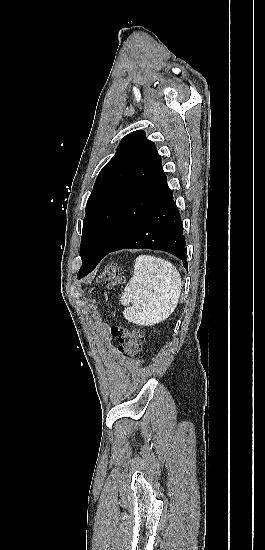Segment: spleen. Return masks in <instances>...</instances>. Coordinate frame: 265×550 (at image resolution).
Returning a JSON list of instances; mask_svg holds the SVG:
<instances>
[{
	"label": "spleen",
	"instance_id": "obj_1",
	"mask_svg": "<svg viewBox=\"0 0 265 550\" xmlns=\"http://www.w3.org/2000/svg\"><path fill=\"white\" fill-rule=\"evenodd\" d=\"M181 290V276L173 264L160 257L140 255L121 297L124 317L140 326L160 323L174 312Z\"/></svg>",
	"mask_w": 265,
	"mask_h": 550
}]
</instances>
